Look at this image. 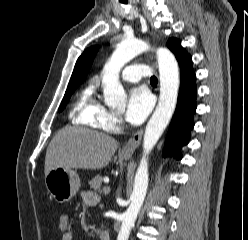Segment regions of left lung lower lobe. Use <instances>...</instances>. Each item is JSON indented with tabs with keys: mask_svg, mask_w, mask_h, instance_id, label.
<instances>
[{
	"mask_svg": "<svg viewBox=\"0 0 248 240\" xmlns=\"http://www.w3.org/2000/svg\"><path fill=\"white\" fill-rule=\"evenodd\" d=\"M179 67L178 101L163 148L164 157H174L177 160L182 159L181 148L189 143L190 132L195 124L193 115L197 108L196 75L190 54L179 63Z\"/></svg>",
	"mask_w": 248,
	"mask_h": 240,
	"instance_id": "1",
	"label": "left lung lower lobe"
}]
</instances>
